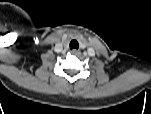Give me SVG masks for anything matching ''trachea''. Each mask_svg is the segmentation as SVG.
<instances>
[{
    "label": "trachea",
    "mask_w": 151,
    "mask_h": 114,
    "mask_svg": "<svg viewBox=\"0 0 151 114\" xmlns=\"http://www.w3.org/2000/svg\"><path fill=\"white\" fill-rule=\"evenodd\" d=\"M70 49H78L79 48V43L77 40L73 39L69 43Z\"/></svg>",
    "instance_id": "3493384b"
}]
</instances>
